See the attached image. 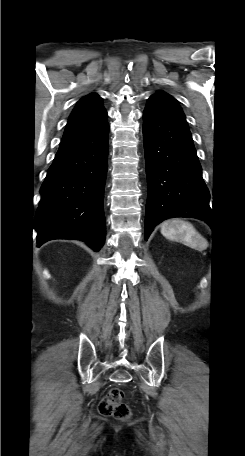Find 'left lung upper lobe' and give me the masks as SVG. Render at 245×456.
I'll return each mask as SVG.
<instances>
[{
  "mask_svg": "<svg viewBox=\"0 0 245 456\" xmlns=\"http://www.w3.org/2000/svg\"><path fill=\"white\" fill-rule=\"evenodd\" d=\"M152 96L159 97V98H164V99H170V100H173V101L177 102L172 96H170L169 94H167V93H165L163 91H158L156 94H154Z\"/></svg>",
  "mask_w": 245,
  "mask_h": 456,
  "instance_id": "obj_1",
  "label": "left lung upper lobe"
}]
</instances>
